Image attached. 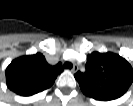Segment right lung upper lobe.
Masks as SVG:
<instances>
[{"mask_svg": "<svg viewBox=\"0 0 133 106\" xmlns=\"http://www.w3.org/2000/svg\"><path fill=\"white\" fill-rule=\"evenodd\" d=\"M62 72L61 63L51 66L41 53L22 56L7 67V86L18 95L31 96L50 88Z\"/></svg>", "mask_w": 133, "mask_h": 106, "instance_id": "1", "label": "right lung upper lobe"}]
</instances>
